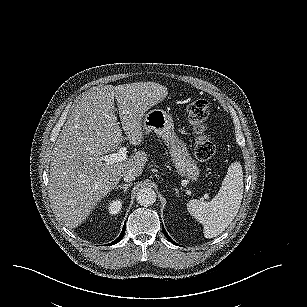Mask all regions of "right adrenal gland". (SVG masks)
Segmentation results:
<instances>
[{
    "instance_id": "2a0ac1e0",
    "label": "right adrenal gland",
    "mask_w": 307,
    "mask_h": 307,
    "mask_svg": "<svg viewBox=\"0 0 307 307\" xmlns=\"http://www.w3.org/2000/svg\"><path fill=\"white\" fill-rule=\"evenodd\" d=\"M133 184L129 183V184H123V185H118L115 186V191L119 190V189H123L124 193L128 190L129 187H131Z\"/></svg>"
}]
</instances>
